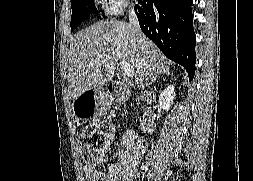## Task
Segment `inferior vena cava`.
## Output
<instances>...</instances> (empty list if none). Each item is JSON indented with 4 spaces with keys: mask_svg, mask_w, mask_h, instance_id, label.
Masks as SVG:
<instances>
[{
    "mask_svg": "<svg viewBox=\"0 0 253 181\" xmlns=\"http://www.w3.org/2000/svg\"><path fill=\"white\" fill-rule=\"evenodd\" d=\"M128 16H129V23L134 28V30L136 31L137 36L143 37V33L140 29L138 18L136 16L135 12H134L133 6H131L129 8Z\"/></svg>",
    "mask_w": 253,
    "mask_h": 181,
    "instance_id": "602c4592",
    "label": "inferior vena cava"
}]
</instances>
